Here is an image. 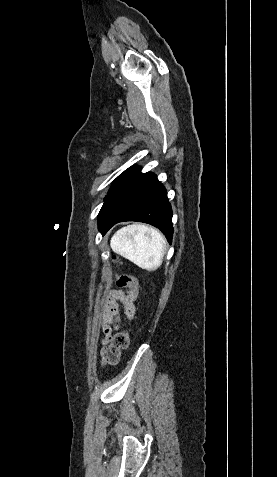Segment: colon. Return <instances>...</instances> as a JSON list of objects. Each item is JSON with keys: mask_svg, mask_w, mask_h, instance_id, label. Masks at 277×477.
Instances as JSON below:
<instances>
[{"mask_svg": "<svg viewBox=\"0 0 277 477\" xmlns=\"http://www.w3.org/2000/svg\"><path fill=\"white\" fill-rule=\"evenodd\" d=\"M115 263H118V259L115 258ZM117 285L120 287H128L133 302H138L141 296V291L139 285H137V280L135 277L127 274L117 276ZM128 304L127 300H124L123 303L119 302L117 305V310L119 312H124L126 310V305ZM118 311L114 312L113 323L116 325L122 324V316ZM129 345V334L126 330L115 333L111 336L109 344L105 345L101 350V364L102 365H115L119 361L120 353L122 350L126 349Z\"/></svg>", "mask_w": 277, "mask_h": 477, "instance_id": "5ec220e1", "label": "colon"}]
</instances>
